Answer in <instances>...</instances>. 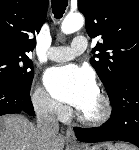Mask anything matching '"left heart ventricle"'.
I'll list each match as a JSON object with an SVG mask.
<instances>
[{"label": "left heart ventricle", "mask_w": 139, "mask_h": 150, "mask_svg": "<svg viewBox=\"0 0 139 150\" xmlns=\"http://www.w3.org/2000/svg\"><path fill=\"white\" fill-rule=\"evenodd\" d=\"M79 111L86 116L97 115L101 111V103L98 96Z\"/></svg>", "instance_id": "left-heart-ventricle-1"}]
</instances>
